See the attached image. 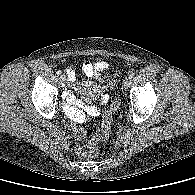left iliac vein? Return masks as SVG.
<instances>
[{
	"label": "left iliac vein",
	"instance_id": "4c4485c4",
	"mask_svg": "<svg viewBox=\"0 0 195 195\" xmlns=\"http://www.w3.org/2000/svg\"><path fill=\"white\" fill-rule=\"evenodd\" d=\"M123 87L127 89L130 86V80L128 78L124 79L123 81Z\"/></svg>",
	"mask_w": 195,
	"mask_h": 195
}]
</instances>
